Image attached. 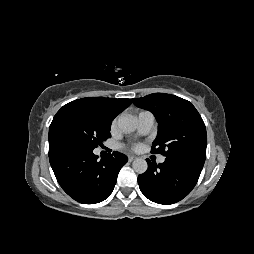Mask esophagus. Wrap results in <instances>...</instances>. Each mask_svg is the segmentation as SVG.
I'll return each instance as SVG.
<instances>
[{"instance_id": "34e87169", "label": "esophagus", "mask_w": 254, "mask_h": 254, "mask_svg": "<svg viewBox=\"0 0 254 254\" xmlns=\"http://www.w3.org/2000/svg\"><path fill=\"white\" fill-rule=\"evenodd\" d=\"M135 159H136L135 156H132V155H129V156H128V161H129V162H132V161H134Z\"/></svg>"}]
</instances>
